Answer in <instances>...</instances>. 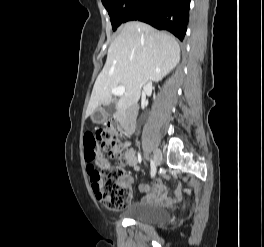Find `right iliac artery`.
Returning a JSON list of instances; mask_svg holds the SVG:
<instances>
[{
  "mask_svg": "<svg viewBox=\"0 0 264 247\" xmlns=\"http://www.w3.org/2000/svg\"><path fill=\"white\" fill-rule=\"evenodd\" d=\"M150 165H151V178H153L156 175V166L152 159L150 160Z\"/></svg>",
  "mask_w": 264,
  "mask_h": 247,
  "instance_id": "right-iliac-artery-1",
  "label": "right iliac artery"
}]
</instances>
